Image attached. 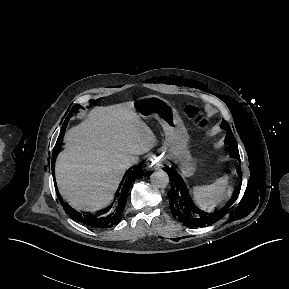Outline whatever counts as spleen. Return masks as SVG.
Segmentation results:
<instances>
[{"instance_id": "obj_1", "label": "spleen", "mask_w": 289, "mask_h": 289, "mask_svg": "<svg viewBox=\"0 0 289 289\" xmlns=\"http://www.w3.org/2000/svg\"><path fill=\"white\" fill-rule=\"evenodd\" d=\"M229 191V176L224 175L210 185L195 186L193 197L198 206L212 211L217 205L224 202Z\"/></svg>"}]
</instances>
